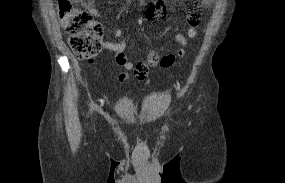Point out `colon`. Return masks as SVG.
Segmentation results:
<instances>
[{"instance_id": "obj_1", "label": "colon", "mask_w": 285, "mask_h": 183, "mask_svg": "<svg viewBox=\"0 0 285 183\" xmlns=\"http://www.w3.org/2000/svg\"><path fill=\"white\" fill-rule=\"evenodd\" d=\"M76 1L58 0V15L64 30L71 35L69 43L75 54L82 59H92L101 51L103 30L88 11L75 5ZM134 74L136 78L143 79L146 70L137 66Z\"/></svg>"}]
</instances>
